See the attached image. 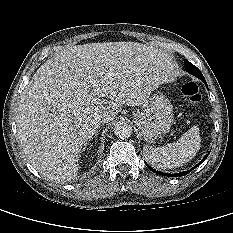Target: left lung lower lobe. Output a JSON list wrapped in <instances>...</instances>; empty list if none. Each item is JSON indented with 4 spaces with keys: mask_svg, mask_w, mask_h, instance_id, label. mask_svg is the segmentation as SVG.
Here are the masks:
<instances>
[{
    "mask_svg": "<svg viewBox=\"0 0 233 233\" xmlns=\"http://www.w3.org/2000/svg\"><path fill=\"white\" fill-rule=\"evenodd\" d=\"M205 84H206V87H207V83L205 81V78L204 79H201ZM208 157V155H206L201 162H199L196 166H194L192 169L188 170V171H185V172H180V173H175V174H166V173H163V172H160V171H156L155 169L151 168L148 164H146L148 166V168L156 173V174H160V175H164V176H184L186 174H188L190 171H192L194 168H196L197 166H199L206 158Z\"/></svg>",
    "mask_w": 233,
    "mask_h": 233,
    "instance_id": "0a47b994",
    "label": "left lung lower lobe"
}]
</instances>
